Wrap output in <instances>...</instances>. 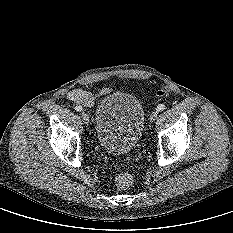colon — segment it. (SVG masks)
<instances>
[{"mask_svg": "<svg viewBox=\"0 0 233 233\" xmlns=\"http://www.w3.org/2000/svg\"><path fill=\"white\" fill-rule=\"evenodd\" d=\"M166 93V88H161L160 90H158L157 95L159 97H163L166 95ZM114 182L118 188L127 189L132 185L133 179L132 176L128 173H118L114 177Z\"/></svg>", "mask_w": 233, "mask_h": 233, "instance_id": "colon-1", "label": "colon"}]
</instances>
